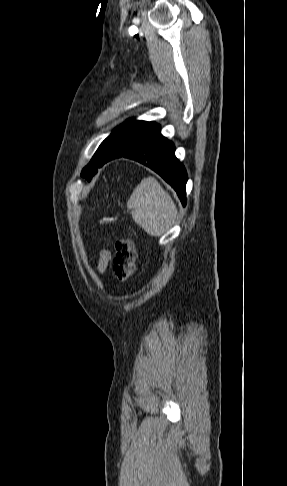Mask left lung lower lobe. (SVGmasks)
Here are the masks:
<instances>
[{"mask_svg": "<svg viewBox=\"0 0 287 486\" xmlns=\"http://www.w3.org/2000/svg\"><path fill=\"white\" fill-rule=\"evenodd\" d=\"M174 152V144L162 136L159 128L139 149L114 158H130L157 172L175 189L185 206L187 173L184 166L175 157Z\"/></svg>", "mask_w": 287, "mask_h": 486, "instance_id": "obj_1", "label": "left lung lower lobe"}]
</instances>
